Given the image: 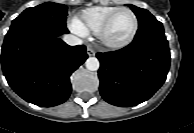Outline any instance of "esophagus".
Segmentation results:
<instances>
[{
	"mask_svg": "<svg viewBox=\"0 0 194 133\" xmlns=\"http://www.w3.org/2000/svg\"><path fill=\"white\" fill-rule=\"evenodd\" d=\"M87 54H88L89 56H94V55H95V52H94V50H93L92 48L88 47V48H87Z\"/></svg>",
	"mask_w": 194,
	"mask_h": 133,
	"instance_id": "obj_1",
	"label": "esophagus"
}]
</instances>
